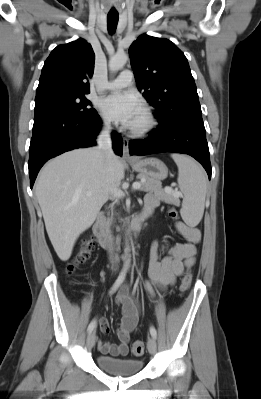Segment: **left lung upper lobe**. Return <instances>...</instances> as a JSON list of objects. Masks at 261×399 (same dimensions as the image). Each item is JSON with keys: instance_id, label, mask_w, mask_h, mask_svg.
Wrapping results in <instances>:
<instances>
[{"instance_id": "1", "label": "left lung upper lobe", "mask_w": 261, "mask_h": 399, "mask_svg": "<svg viewBox=\"0 0 261 399\" xmlns=\"http://www.w3.org/2000/svg\"><path fill=\"white\" fill-rule=\"evenodd\" d=\"M129 53L137 87L156 108L160 126L202 114L187 58L173 42L145 34L132 43Z\"/></svg>"}]
</instances>
